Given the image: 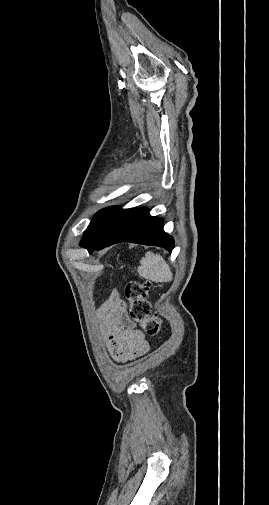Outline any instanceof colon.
Masks as SVG:
<instances>
[{"label": "colon", "mask_w": 269, "mask_h": 505, "mask_svg": "<svg viewBox=\"0 0 269 505\" xmlns=\"http://www.w3.org/2000/svg\"><path fill=\"white\" fill-rule=\"evenodd\" d=\"M149 289L148 282L132 281L127 285L125 294L131 319L140 325L146 335L157 337L161 333L162 322L148 300Z\"/></svg>", "instance_id": "5ec220e1"}]
</instances>
